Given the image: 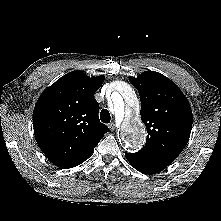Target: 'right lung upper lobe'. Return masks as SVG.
<instances>
[{"label":"right lung upper lobe","instance_id":"right-lung-upper-lobe-1","mask_svg":"<svg viewBox=\"0 0 221 221\" xmlns=\"http://www.w3.org/2000/svg\"><path fill=\"white\" fill-rule=\"evenodd\" d=\"M104 77L90 78L81 71L58 79L39 97L33 112L34 134L45 156L60 168L86 160L108 127L98 117L94 98Z\"/></svg>","mask_w":221,"mask_h":221}]
</instances>
